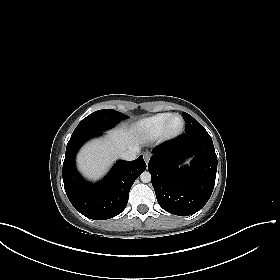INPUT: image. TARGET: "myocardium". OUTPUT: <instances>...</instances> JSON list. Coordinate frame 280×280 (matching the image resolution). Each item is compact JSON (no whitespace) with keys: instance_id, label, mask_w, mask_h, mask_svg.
Segmentation results:
<instances>
[{"instance_id":"obj_1","label":"myocardium","mask_w":280,"mask_h":280,"mask_svg":"<svg viewBox=\"0 0 280 280\" xmlns=\"http://www.w3.org/2000/svg\"><path fill=\"white\" fill-rule=\"evenodd\" d=\"M174 117H179L182 121V125L178 131L172 133L169 131V125H170V121ZM184 130H185V119L183 118V116L180 114H171L170 117L165 122L161 131V135L159 137H161L162 141H172L180 137L183 134Z\"/></svg>"}]
</instances>
